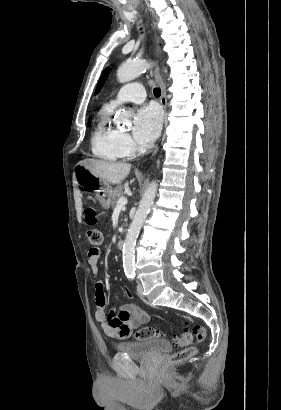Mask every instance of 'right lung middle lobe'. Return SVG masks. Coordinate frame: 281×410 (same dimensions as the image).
<instances>
[{"instance_id": "obj_1", "label": "right lung middle lobe", "mask_w": 281, "mask_h": 410, "mask_svg": "<svg viewBox=\"0 0 281 410\" xmlns=\"http://www.w3.org/2000/svg\"><path fill=\"white\" fill-rule=\"evenodd\" d=\"M91 124V118H89V120H88V125H90Z\"/></svg>"}]
</instances>
